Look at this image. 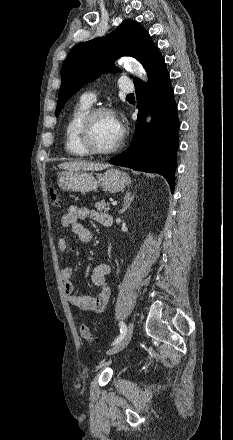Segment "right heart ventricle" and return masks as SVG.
Segmentation results:
<instances>
[{
    "label": "right heart ventricle",
    "mask_w": 233,
    "mask_h": 440,
    "mask_svg": "<svg viewBox=\"0 0 233 440\" xmlns=\"http://www.w3.org/2000/svg\"><path fill=\"white\" fill-rule=\"evenodd\" d=\"M90 110V105L80 101L72 110L65 126V150L74 157L84 158L89 155L78 141V128L83 117Z\"/></svg>",
    "instance_id": "obj_1"
}]
</instances>
